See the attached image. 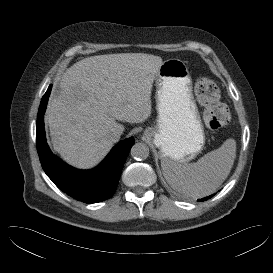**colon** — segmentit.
<instances>
[{"mask_svg":"<svg viewBox=\"0 0 273 273\" xmlns=\"http://www.w3.org/2000/svg\"><path fill=\"white\" fill-rule=\"evenodd\" d=\"M195 95L198 101L204 105L203 120L210 131H217L229 121L228 109L218 103L220 93L217 85L207 79L199 78L195 82Z\"/></svg>","mask_w":273,"mask_h":273,"instance_id":"obj_1","label":"colon"}]
</instances>
